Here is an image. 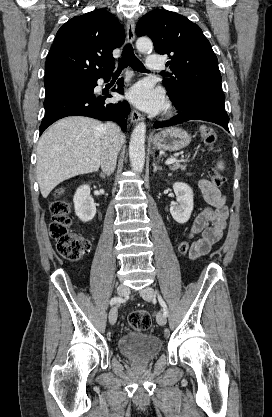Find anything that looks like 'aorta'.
<instances>
[{"label":"aorta","instance_id":"aorta-1","mask_svg":"<svg viewBox=\"0 0 272 417\" xmlns=\"http://www.w3.org/2000/svg\"><path fill=\"white\" fill-rule=\"evenodd\" d=\"M136 47L139 51L147 53L152 51L153 43L149 38L141 37L136 41ZM145 123H139L133 130L130 144L129 157L132 169L135 172H142L145 162Z\"/></svg>","mask_w":272,"mask_h":417}]
</instances>
